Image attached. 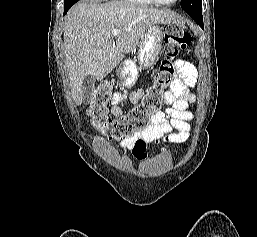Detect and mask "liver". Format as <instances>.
<instances>
[{
	"mask_svg": "<svg viewBox=\"0 0 257 237\" xmlns=\"http://www.w3.org/2000/svg\"><path fill=\"white\" fill-rule=\"evenodd\" d=\"M177 22L171 11L131 3L84 0L74 5L66 16L64 53L76 105L83 101L86 76L101 81L136 48L151 25ZM113 29L120 34L113 37Z\"/></svg>",
	"mask_w": 257,
	"mask_h": 237,
	"instance_id": "obj_1",
	"label": "liver"
}]
</instances>
